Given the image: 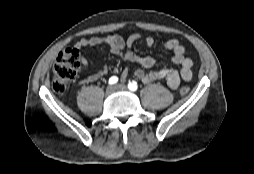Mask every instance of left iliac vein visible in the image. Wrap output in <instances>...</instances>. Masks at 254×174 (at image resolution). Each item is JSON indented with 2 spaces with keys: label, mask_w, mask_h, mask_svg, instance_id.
Returning <instances> with one entry per match:
<instances>
[{
  "label": "left iliac vein",
  "mask_w": 254,
  "mask_h": 174,
  "mask_svg": "<svg viewBox=\"0 0 254 174\" xmlns=\"http://www.w3.org/2000/svg\"><path fill=\"white\" fill-rule=\"evenodd\" d=\"M117 90H127V87L123 84H118L115 87Z\"/></svg>",
  "instance_id": "1"
}]
</instances>
